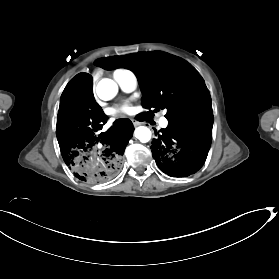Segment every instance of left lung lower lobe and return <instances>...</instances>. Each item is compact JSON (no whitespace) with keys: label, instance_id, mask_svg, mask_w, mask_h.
I'll use <instances>...</instances> for the list:
<instances>
[{"label":"left lung lower lobe","instance_id":"obj_1","mask_svg":"<svg viewBox=\"0 0 279 279\" xmlns=\"http://www.w3.org/2000/svg\"><path fill=\"white\" fill-rule=\"evenodd\" d=\"M213 116L169 122L152 141L157 166L172 177H186L204 164L212 141Z\"/></svg>","mask_w":279,"mask_h":279}]
</instances>
